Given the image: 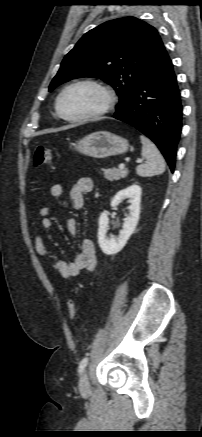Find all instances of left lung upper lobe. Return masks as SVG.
I'll list each match as a JSON object with an SVG mask.
<instances>
[{
    "instance_id": "5c2ea615",
    "label": "left lung upper lobe",
    "mask_w": 202,
    "mask_h": 437,
    "mask_svg": "<svg viewBox=\"0 0 202 437\" xmlns=\"http://www.w3.org/2000/svg\"><path fill=\"white\" fill-rule=\"evenodd\" d=\"M166 55L153 26L135 17L107 21L87 32L65 56L49 91L74 78L99 77L118 94L117 109Z\"/></svg>"
}]
</instances>
